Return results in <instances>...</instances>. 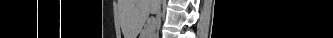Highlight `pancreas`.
I'll list each match as a JSON object with an SVG mask.
<instances>
[{
    "label": "pancreas",
    "instance_id": "obj_1",
    "mask_svg": "<svg viewBox=\"0 0 333 38\" xmlns=\"http://www.w3.org/2000/svg\"><path fill=\"white\" fill-rule=\"evenodd\" d=\"M154 31H155V25L154 24L150 25L143 31L142 36L145 38H149L150 37L149 35H153Z\"/></svg>",
    "mask_w": 333,
    "mask_h": 38
}]
</instances>
